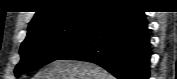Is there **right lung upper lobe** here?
Here are the masks:
<instances>
[{"mask_svg": "<svg viewBox=\"0 0 177 79\" xmlns=\"http://www.w3.org/2000/svg\"><path fill=\"white\" fill-rule=\"evenodd\" d=\"M130 4L131 2L127 0H47L36 12L28 30L32 31L43 25L71 20L92 13L102 15L106 9Z\"/></svg>", "mask_w": 177, "mask_h": 79, "instance_id": "1", "label": "right lung upper lobe"}]
</instances>
